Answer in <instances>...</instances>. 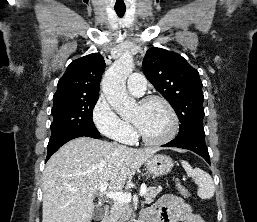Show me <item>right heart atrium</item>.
<instances>
[{"label": "right heart atrium", "mask_w": 257, "mask_h": 222, "mask_svg": "<svg viewBox=\"0 0 257 222\" xmlns=\"http://www.w3.org/2000/svg\"><path fill=\"white\" fill-rule=\"evenodd\" d=\"M100 109H106L112 116L116 118L117 124L113 128L111 129L104 128L98 123L97 113ZM92 117H93L95 126L103 135L122 143H128L133 139V135H134L133 127L129 123L120 119L119 117H116L115 113L113 112V110L111 109V107L109 106V104L107 103L106 99L103 96H101L98 99L93 109Z\"/></svg>", "instance_id": "1"}]
</instances>
